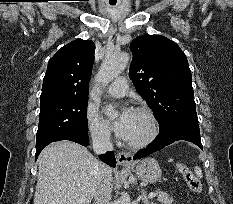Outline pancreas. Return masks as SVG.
<instances>
[{"mask_svg":"<svg viewBox=\"0 0 233 204\" xmlns=\"http://www.w3.org/2000/svg\"><path fill=\"white\" fill-rule=\"evenodd\" d=\"M157 201L161 204H172L173 198L169 197L167 193L164 192H157Z\"/></svg>","mask_w":233,"mask_h":204,"instance_id":"pancreas-1","label":"pancreas"}]
</instances>
